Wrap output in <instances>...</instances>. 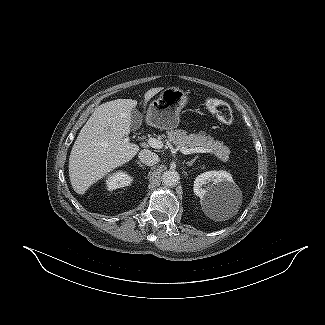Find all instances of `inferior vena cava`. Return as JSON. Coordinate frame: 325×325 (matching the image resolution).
Masks as SVG:
<instances>
[{
	"label": "inferior vena cava",
	"instance_id": "1",
	"mask_svg": "<svg viewBox=\"0 0 325 325\" xmlns=\"http://www.w3.org/2000/svg\"><path fill=\"white\" fill-rule=\"evenodd\" d=\"M138 157L139 160L147 166H153L159 162L158 155L148 149L141 150Z\"/></svg>",
	"mask_w": 325,
	"mask_h": 325
}]
</instances>
